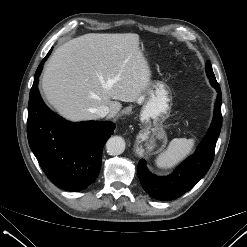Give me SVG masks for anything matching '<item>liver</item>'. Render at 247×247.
I'll return each instance as SVG.
<instances>
[{"mask_svg":"<svg viewBox=\"0 0 247 247\" xmlns=\"http://www.w3.org/2000/svg\"><path fill=\"white\" fill-rule=\"evenodd\" d=\"M135 33H89L55 50L42 78L48 103L65 119L96 120L95 109L121 110L135 102L151 81V70Z\"/></svg>","mask_w":247,"mask_h":247,"instance_id":"1","label":"liver"}]
</instances>
